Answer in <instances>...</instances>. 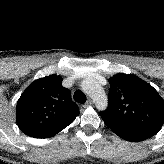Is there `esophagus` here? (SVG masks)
<instances>
[{
  "mask_svg": "<svg viewBox=\"0 0 164 164\" xmlns=\"http://www.w3.org/2000/svg\"><path fill=\"white\" fill-rule=\"evenodd\" d=\"M93 100H91V99H89L87 102H86V104L84 105V107H88V106H91V105H93Z\"/></svg>",
  "mask_w": 164,
  "mask_h": 164,
  "instance_id": "34e87169",
  "label": "esophagus"
}]
</instances>
